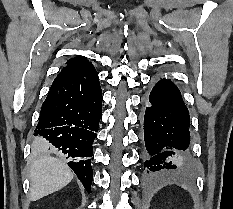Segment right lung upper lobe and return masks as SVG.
<instances>
[{"mask_svg": "<svg viewBox=\"0 0 233 209\" xmlns=\"http://www.w3.org/2000/svg\"><path fill=\"white\" fill-rule=\"evenodd\" d=\"M91 65V62L87 61L85 57H74L66 62V66L62 69V71L55 78L54 82H57L70 74ZM53 82V83H54Z\"/></svg>", "mask_w": 233, "mask_h": 209, "instance_id": "right-lung-upper-lobe-1", "label": "right lung upper lobe"}]
</instances>
